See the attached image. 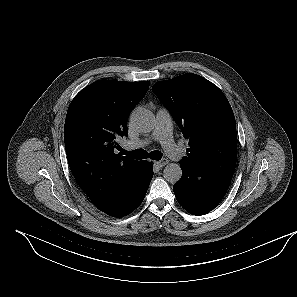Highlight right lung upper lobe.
I'll return each instance as SVG.
<instances>
[{
  "mask_svg": "<svg viewBox=\"0 0 297 297\" xmlns=\"http://www.w3.org/2000/svg\"><path fill=\"white\" fill-rule=\"evenodd\" d=\"M149 81L99 80L81 90L66 115L64 140L71 172L102 212L116 206L143 173V162L117 154L127 136L128 115Z\"/></svg>",
  "mask_w": 297,
  "mask_h": 297,
  "instance_id": "right-lung-upper-lobe-1",
  "label": "right lung upper lobe"
}]
</instances>
